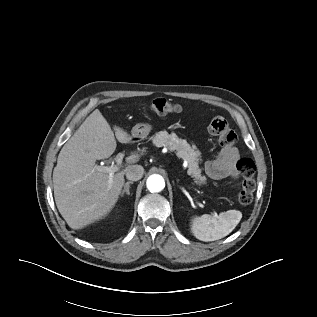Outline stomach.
I'll use <instances>...</instances> for the list:
<instances>
[{
  "label": "stomach",
  "instance_id": "0dacf381",
  "mask_svg": "<svg viewBox=\"0 0 317 317\" xmlns=\"http://www.w3.org/2000/svg\"><path fill=\"white\" fill-rule=\"evenodd\" d=\"M153 129V126L149 123L136 124L132 129V137L135 140H142L148 136Z\"/></svg>",
  "mask_w": 317,
  "mask_h": 317
}]
</instances>
